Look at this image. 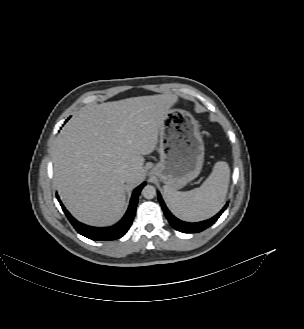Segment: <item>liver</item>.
Returning a JSON list of instances; mask_svg holds the SVG:
<instances>
[{
  "mask_svg": "<svg viewBox=\"0 0 304 329\" xmlns=\"http://www.w3.org/2000/svg\"><path fill=\"white\" fill-rule=\"evenodd\" d=\"M175 94L132 97L86 106L54 143V184L72 215L92 226L121 216L125 190L144 178V155L152 153ZM131 175L124 179L121 170Z\"/></svg>",
  "mask_w": 304,
  "mask_h": 329,
  "instance_id": "6515ba94",
  "label": "liver"
}]
</instances>
